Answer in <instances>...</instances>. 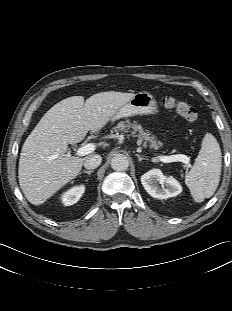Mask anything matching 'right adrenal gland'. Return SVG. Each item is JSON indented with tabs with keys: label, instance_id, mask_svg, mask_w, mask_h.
Listing matches in <instances>:
<instances>
[{
	"label": "right adrenal gland",
	"instance_id": "obj_1",
	"mask_svg": "<svg viewBox=\"0 0 232 311\" xmlns=\"http://www.w3.org/2000/svg\"><path fill=\"white\" fill-rule=\"evenodd\" d=\"M93 172H94L93 170H83L79 174L86 173V174H88L90 176L91 173H93Z\"/></svg>",
	"mask_w": 232,
	"mask_h": 311
}]
</instances>
